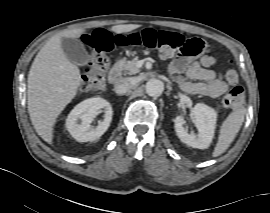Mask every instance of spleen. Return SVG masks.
I'll list each match as a JSON object with an SVG mask.
<instances>
[{
  "instance_id": "1",
  "label": "spleen",
  "mask_w": 270,
  "mask_h": 213,
  "mask_svg": "<svg viewBox=\"0 0 270 213\" xmlns=\"http://www.w3.org/2000/svg\"><path fill=\"white\" fill-rule=\"evenodd\" d=\"M245 113V109H239L232 112L222 123L219 131L218 142L212 154L213 157L220 156L228 149L244 122Z\"/></svg>"
}]
</instances>
